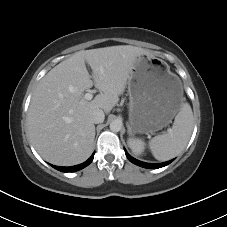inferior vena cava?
<instances>
[{"mask_svg":"<svg viewBox=\"0 0 227 227\" xmlns=\"http://www.w3.org/2000/svg\"><path fill=\"white\" fill-rule=\"evenodd\" d=\"M105 115L101 109H96L92 112L91 121L95 124L102 123L104 121Z\"/></svg>","mask_w":227,"mask_h":227,"instance_id":"inferior-vena-cava-1","label":"inferior vena cava"}]
</instances>
